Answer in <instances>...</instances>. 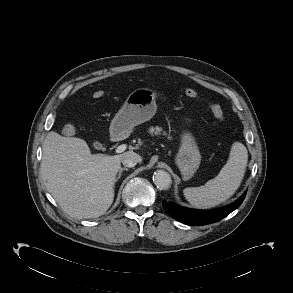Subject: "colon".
Masks as SVG:
<instances>
[{
  "label": "colon",
  "mask_w": 293,
  "mask_h": 293,
  "mask_svg": "<svg viewBox=\"0 0 293 293\" xmlns=\"http://www.w3.org/2000/svg\"><path fill=\"white\" fill-rule=\"evenodd\" d=\"M104 95V91L102 90H98L95 91L93 93V97L98 99L101 98ZM185 95L189 98H198L199 94L197 93V91L193 90V89H186L185 90ZM209 109L211 110L212 114L214 115V117L219 120V121H223L225 118L224 115V111L222 110L221 106L215 103H209L208 104ZM74 127L71 124H66L63 129H62V133L66 136H71L74 134Z\"/></svg>",
  "instance_id": "5ec220e1"
}]
</instances>
